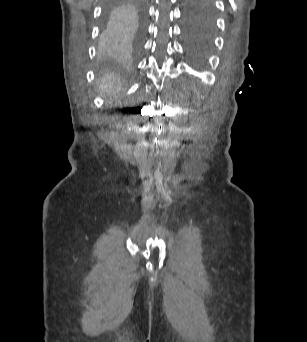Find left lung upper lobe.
<instances>
[{
  "label": "left lung upper lobe",
  "mask_w": 307,
  "mask_h": 342,
  "mask_svg": "<svg viewBox=\"0 0 307 342\" xmlns=\"http://www.w3.org/2000/svg\"><path fill=\"white\" fill-rule=\"evenodd\" d=\"M211 0H187L184 19L185 35L191 47L202 50L212 43L214 13Z\"/></svg>",
  "instance_id": "obj_1"
}]
</instances>
